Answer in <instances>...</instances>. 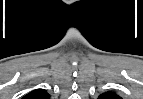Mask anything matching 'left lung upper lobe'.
<instances>
[{
    "label": "left lung upper lobe",
    "instance_id": "5c2ea615",
    "mask_svg": "<svg viewBox=\"0 0 143 99\" xmlns=\"http://www.w3.org/2000/svg\"><path fill=\"white\" fill-rule=\"evenodd\" d=\"M99 99H120V97L114 92H107V93L101 94L99 96Z\"/></svg>",
    "mask_w": 143,
    "mask_h": 99
}]
</instances>
